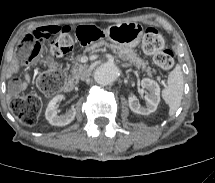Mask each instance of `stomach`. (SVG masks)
I'll use <instances>...</instances> for the list:
<instances>
[{"instance_id":"0dacf381","label":"stomach","mask_w":215,"mask_h":183,"mask_svg":"<svg viewBox=\"0 0 215 183\" xmlns=\"http://www.w3.org/2000/svg\"><path fill=\"white\" fill-rule=\"evenodd\" d=\"M102 35L121 47H136L143 36V28L137 23H121L101 29Z\"/></svg>"}]
</instances>
